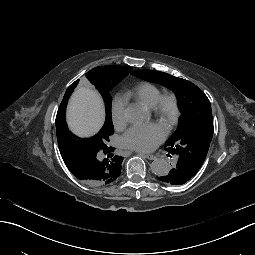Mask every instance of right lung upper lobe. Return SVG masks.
Returning <instances> with one entry per match:
<instances>
[{
    "label": "right lung upper lobe",
    "mask_w": 255,
    "mask_h": 255,
    "mask_svg": "<svg viewBox=\"0 0 255 255\" xmlns=\"http://www.w3.org/2000/svg\"><path fill=\"white\" fill-rule=\"evenodd\" d=\"M105 67V66H103ZM103 67H96L86 73L87 79L94 85L96 74ZM78 84V80L72 83L65 92L63 100L56 116L57 140L61 156L71 173L79 179V162L82 159L89 160L92 156L100 159V180L92 182L90 180L84 183L103 186L114 182L121 173V164L123 157L112 154L114 148L107 146L109 136L113 134L114 128L112 124L104 125L101 131L91 138H79L70 132L65 122V111L68 99ZM95 86V85H94ZM77 140L87 141L90 143V152L87 154L77 153L73 150V143ZM107 155V157H106ZM80 180V179H79ZM82 181V180H81Z\"/></svg>",
    "instance_id": "1"
}]
</instances>
